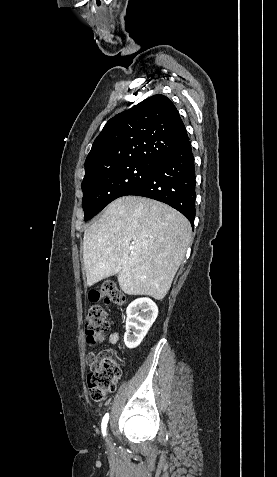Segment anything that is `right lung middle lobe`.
<instances>
[{
	"instance_id": "right-lung-middle-lobe-1",
	"label": "right lung middle lobe",
	"mask_w": 277,
	"mask_h": 477,
	"mask_svg": "<svg viewBox=\"0 0 277 477\" xmlns=\"http://www.w3.org/2000/svg\"><path fill=\"white\" fill-rule=\"evenodd\" d=\"M154 163L131 162L113 168L85 172L82 207L85 221L113 200L125 196L150 173Z\"/></svg>"
}]
</instances>
